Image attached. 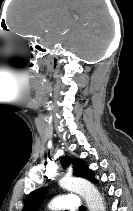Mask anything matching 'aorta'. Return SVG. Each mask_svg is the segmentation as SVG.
<instances>
[{"label":"aorta","instance_id":"obj_1","mask_svg":"<svg viewBox=\"0 0 133 211\" xmlns=\"http://www.w3.org/2000/svg\"><path fill=\"white\" fill-rule=\"evenodd\" d=\"M59 185L63 189L76 192L82 196L89 211H105L104 201L91 182L79 177L66 176L59 181Z\"/></svg>","mask_w":133,"mask_h":211}]
</instances>
